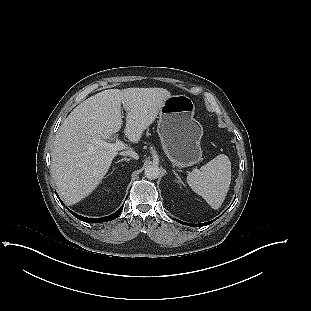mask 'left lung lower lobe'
<instances>
[{
    "instance_id": "left-lung-lower-lobe-1",
    "label": "left lung lower lobe",
    "mask_w": 311,
    "mask_h": 311,
    "mask_svg": "<svg viewBox=\"0 0 311 311\" xmlns=\"http://www.w3.org/2000/svg\"><path fill=\"white\" fill-rule=\"evenodd\" d=\"M176 221H178V222L181 223V224H185V225H188V226H191V227H200V226L209 225V224H211V223H212L213 221H215V220H212V221L206 222V223H201V224H189V223L182 222V221H180V220H176Z\"/></svg>"
}]
</instances>
